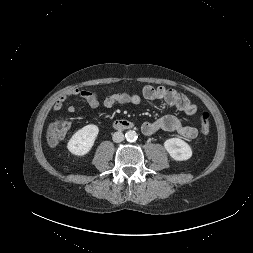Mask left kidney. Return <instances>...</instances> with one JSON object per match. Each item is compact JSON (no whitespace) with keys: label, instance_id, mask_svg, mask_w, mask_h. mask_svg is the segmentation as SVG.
Masks as SVG:
<instances>
[{"label":"left kidney","instance_id":"obj_1","mask_svg":"<svg viewBox=\"0 0 253 253\" xmlns=\"http://www.w3.org/2000/svg\"><path fill=\"white\" fill-rule=\"evenodd\" d=\"M169 155L176 161L188 160L192 156V149L188 143L180 138H170L164 142Z\"/></svg>","mask_w":253,"mask_h":253}]
</instances>
